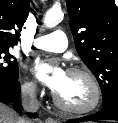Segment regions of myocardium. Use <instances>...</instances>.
Segmentation results:
<instances>
[{
    "mask_svg": "<svg viewBox=\"0 0 118 123\" xmlns=\"http://www.w3.org/2000/svg\"><path fill=\"white\" fill-rule=\"evenodd\" d=\"M68 73L81 75L87 80L92 89V99L84 106L75 107L65 104L56 93H53L55 105L67 113L76 115L87 114L94 111L99 106L102 98L101 88L95 76L89 70L81 67L70 68Z\"/></svg>",
    "mask_w": 118,
    "mask_h": 123,
    "instance_id": "obj_1",
    "label": "myocardium"
}]
</instances>
